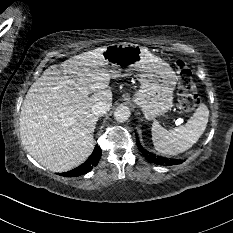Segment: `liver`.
Returning <instances> with one entry per match:
<instances>
[{
  "label": "liver",
  "instance_id": "1",
  "mask_svg": "<svg viewBox=\"0 0 233 233\" xmlns=\"http://www.w3.org/2000/svg\"><path fill=\"white\" fill-rule=\"evenodd\" d=\"M106 47L48 67L26 94L20 113L22 144L53 172L80 165L94 148L98 116L92 106L98 102L112 105V76L103 58Z\"/></svg>",
  "mask_w": 233,
  "mask_h": 233
}]
</instances>
